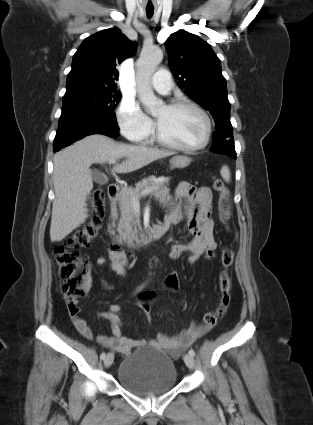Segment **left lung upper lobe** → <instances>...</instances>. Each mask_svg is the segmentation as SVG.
Returning a JSON list of instances; mask_svg holds the SVG:
<instances>
[{
	"mask_svg": "<svg viewBox=\"0 0 313 425\" xmlns=\"http://www.w3.org/2000/svg\"><path fill=\"white\" fill-rule=\"evenodd\" d=\"M165 46L178 86L212 114L217 130H232L226 80L211 46L184 30L170 35Z\"/></svg>",
	"mask_w": 313,
	"mask_h": 425,
	"instance_id": "left-lung-upper-lobe-1",
	"label": "left lung upper lobe"
}]
</instances>
